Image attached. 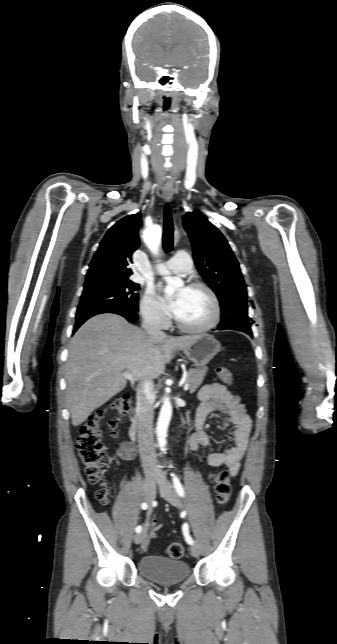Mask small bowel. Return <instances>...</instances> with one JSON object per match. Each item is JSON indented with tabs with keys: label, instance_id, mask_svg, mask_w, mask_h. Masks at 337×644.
<instances>
[{
	"label": "small bowel",
	"instance_id": "small-bowel-1",
	"mask_svg": "<svg viewBox=\"0 0 337 644\" xmlns=\"http://www.w3.org/2000/svg\"><path fill=\"white\" fill-rule=\"evenodd\" d=\"M198 398L201 403L196 413V431L189 439L190 450L196 451L200 447L210 445V437L204 430L205 421L210 413L222 412L224 414L223 425L228 428V437L233 441L234 446L226 452L208 451L206 458L213 467L227 466L230 474L235 476L248 447L252 428L251 418L240 397L224 385L207 384L199 391ZM116 454L121 460L130 461L135 457V448L130 443L124 442ZM162 526L155 516L150 513L146 515V536L141 542L142 549H148L150 541L156 538V532Z\"/></svg>",
	"mask_w": 337,
	"mask_h": 644
}]
</instances>
